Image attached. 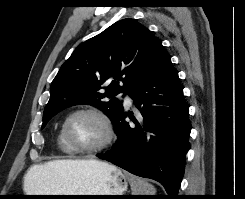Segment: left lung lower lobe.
Wrapping results in <instances>:
<instances>
[{
	"instance_id": "0a47b994",
	"label": "left lung lower lobe",
	"mask_w": 245,
	"mask_h": 199,
	"mask_svg": "<svg viewBox=\"0 0 245 199\" xmlns=\"http://www.w3.org/2000/svg\"><path fill=\"white\" fill-rule=\"evenodd\" d=\"M136 116L124 109L113 121L118 140L100 159L137 176L160 182L168 199L177 197L191 131L189 108L178 72L164 49L146 76L130 91Z\"/></svg>"
}]
</instances>
